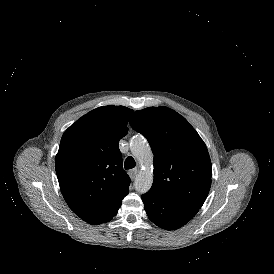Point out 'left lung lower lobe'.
Instances as JSON below:
<instances>
[{"label":"left lung lower lobe","mask_w":274,"mask_h":274,"mask_svg":"<svg viewBox=\"0 0 274 274\" xmlns=\"http://www.w3.org/2000/svg\"><path fill=\"white\" fill-rule=\"evenodd\" d=\"M145 211L157 226L174 230L186 224L198 212V208L172 201L155 191L142 195Z\"/></svg>","instance_id":"1"}]
</instances>
